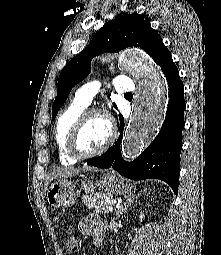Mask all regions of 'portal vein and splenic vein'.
Wrapping results in <instances>:
<instances>
[{"mask_svg":"<svg viewBox=\"0 0 221 255\" xmlns=\"http://www.w3.org/2000/svg\"><path fill=\"white\" fill-rule=\"evenodd\" d=\"M107 202L111 204V206H109V211H113V206H112V204H115L117 208L120 207V204H119V203L110 201L109 199H107Z\"/></svg>","mask_w":221,"mask_h":255,"instance_id":"portal-vein-and-splenic-vein-1","label":"portal vein and splenic vein"}]
</instances>
